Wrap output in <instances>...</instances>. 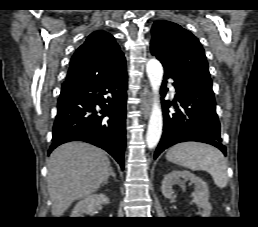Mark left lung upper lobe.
I'll use <instances>...</instances> for the list:
<instances>
[{"label": "left lung upper lobe", "mask_w": 258, "mask_h": 227, "mask_svg": "<svg viewBox=\"0 0 258 227\" xmlns=\"http://www.w3.org/2000/svg\"><path fill=\"white\" fill-rule=\"evenodd\" d=\"M151 53L160 60L165 73L212 85L199 40L180 25L165 20L154 22Z\"/></svg>", "instance_id": "left-lung-upper-lobe-1"}]
</instances>
